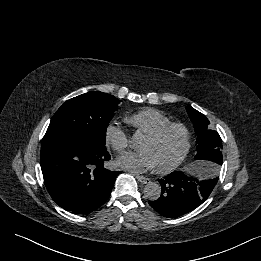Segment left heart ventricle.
<instances>
[{
    "label": "left heart ventricle",
    "mask_w": 261,
    "mask_h": 261,
    "mask_svg": "<svg viewBox=\"0 0 261 261\" xmlns=\"http://www.w3.org/2000/svg\"><path fill=\"white\" fill-rule=\"evenodd\" d=\"M183 147L184 135L179 129L171 130L159 141L145 138L140 145L142 151L152 154L157 167H163L173 162L181 154Z\"/></svg>",
    "instance_id": "left-heart-ventricle-1"
}]
</instances>
